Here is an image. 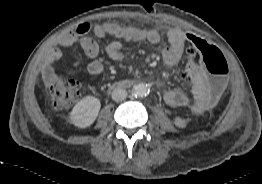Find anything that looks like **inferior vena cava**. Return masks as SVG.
Returning a JSON list of instances; mask_svg holds the SVG:
<instances>
[{
    "label": "inferior vena cava",
    "instance_id": "1",
    "mask_svg": "<svg viewBox=\"0 0 262 184\" xmlns=\"http://www.w3.org/2000/svg\"><path fill=\"white\" fill-rule=\"evenodd\" d=\"M127 97V91L121 88H117L112 92V99L114 101H122Z\"/></svg>",
    "mask_w": 262,
    "mask_h": 184
}]
</instances>
